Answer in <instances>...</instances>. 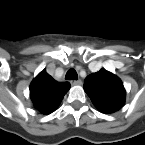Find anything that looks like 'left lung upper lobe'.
<instances>
[{"label":"left lung upper lobe","mask_w":145,"mask_h":145,"mask_svg":"<svg viewBox=\"0 0 145 145\" xmlns=\"http://www.w3.org/2000/svg\"><path fill=\"white\" fill-rule=\"evenodd\" d=\"M84 90L102 113H113L125 104L126 91L123 83L105 69L89 75L84 81Z\"/></svg>","instance_id":"1"}]
</instances>
